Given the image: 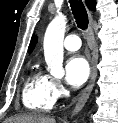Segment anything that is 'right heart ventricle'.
<instances>
[{"label":"right heart ventricle","mask_w":118,"mask_h":123,"mask_svg":"<svg viewBox=\"0 0 118 123\" xmlns=\"http://www.w3.org/2000/svg\"><path fill=\"white\" fill-rule=\"evenodd\" d=\"M55 102L48 88L47 77L38 71H33L24 84V105L34 111L48 112L54 107Z\"/></svg>","instance_id":"right-heart-ventricle-1"}]
</instances>
